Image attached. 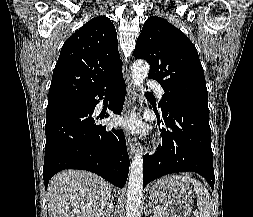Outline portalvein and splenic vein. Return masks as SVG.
Listing matches in <instances>:
<instances>
[{"instance_id":"obj_1","label":"portal vein and splenic vein","mask_w":253,"mask_h":217,"mask_svg":"<svg viewBox=\"0 0 253 217\" xmlns=\"http://www.w3.org/2000/svg\"><path fill=\"white\" fill-rule=\"evenodd\" d=\"M163 209L161 208V207H159V206H156L155 208H154V213H158V212H160V211H162Z\"/></svg>"}]
</instances>
